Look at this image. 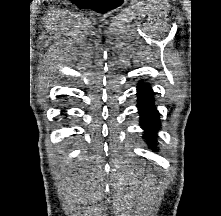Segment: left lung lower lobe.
<instances>
[{"instance_id": "0a47b994", "label": "left lung lower lobe", "mask_w": 221, "mask_h": 216, "mask_svg": "<svg viewBox=\"0 0 221 216\" xmlns=\"http://www.w3.org/2000/svg\"><path fill=\"white\" fill-rule=\"evenodd\" d=\"M151 87L143 82L137 86L138 113L141 118V127L145 130L144 137L149 145L156 148L157 130L160 127L159 114L154 105V97Z\"/></svg>"}]
</instances>
